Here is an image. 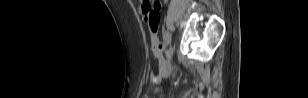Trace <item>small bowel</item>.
<instances>
[{
  "label": "small bowel",
  "instance_id": "small-bowel-1",
  "mask_svg": "<svg viewBox=\"0 0 308 98\" xmlns=\"http://www.w3.org/2000/svg\"><path fill=\"white\" fill-rule=\"evenodd\" d=\"M146 4V1H143L142 2V5H141V12H142V9H143V6Z\"/></svg>",
  "mask_w": 308,
  "mask_h": 98
}]
</instances>
